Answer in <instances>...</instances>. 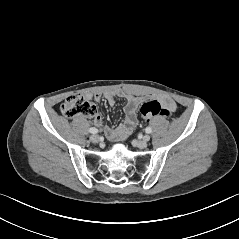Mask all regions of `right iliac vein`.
I'll list each match as a JSON object with an SVG mask.
<instances>
[{
    "label": "right iliac vein",
    "instance_id": "63e3f726",
    "mask_svg": "<svg viewBox=\"0 0 239 239\" xmlns=\"http://www.w3.org/2000/svg\"><path fill=\"white\" fill-rule=\"evenodd\" d=\"M90 141H91L92 143H98V142H99V136H98V135H95V134L91 135V136H90Z\"/></svg>",
    "mask_w": 239,
    "mask_h": 239
}]
</instances>
